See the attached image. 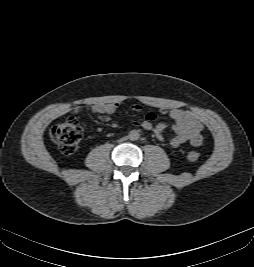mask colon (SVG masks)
Instances as JSON below:
<instances>
[{
  "label": "colon",
  "mask_w": 254,
  "mask_h": 267,
  "mask_svg": "<svg viewBox=\"0 0 254 267\" xmlns=\"http://www.w3.org/2000/svg\"><path fill=\"white\" fill-rule=\"evenodd\" d=\"M82 135L83 129L74 118L54 125L50 131L51 139L64 154H72L76 151ZM187 157L189 161L195 162L200 158V153L193 150L188 153Z\"/></svg>",
  "instance_id": "1"
}]
</instances>
